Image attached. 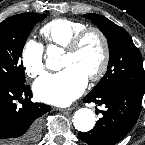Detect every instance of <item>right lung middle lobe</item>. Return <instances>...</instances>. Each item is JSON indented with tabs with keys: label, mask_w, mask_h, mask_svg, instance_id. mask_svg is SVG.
Instances as JSON below:
<instances>
[{
	"label": "right lung middle lobe",
	"mask_w": 145,
	"mask_h": 145,
	"mask_svg": "<svg viewBox=\"0 0 145 145\" xmlns=\"http://www.w3.org/2000/svg\"><path fill=\"white\" fill-rule=\"evenodd\" d=\"M44 18L45 14L23 13L0 23V83L24 84V69L19 58L34 25Z\"/></svg>",
	"instance_id": "right-lung-middle-lobe-1"
}]
</instances>
